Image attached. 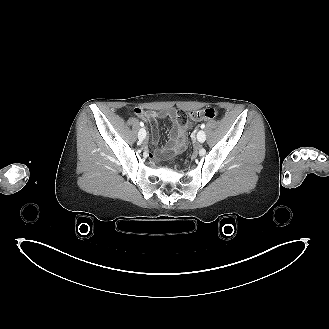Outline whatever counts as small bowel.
<instances>
[{
  "instance_id": "obj_1",
  "label": "small bowel",
  "mask_w": 329,
  "mask_h": 329,
  "mask_svg": "<svg viewBox=\"0 0 329 329\" xmlns=\"http://www.w3.org/2000/svg\"><path fill=\"white\" fill-rule=\"evenodd\" d=\"M135 114L151 125V141L157 144L159 134L154 122L159 118H167L171 121L172 127L169 132V139L166 146L157 154L162 158H170L173 154L183 151L186 147V133L191 127V123L186 121L188 113L179 109H164L161 111L144 110L140 107L135 109ZM148 156L153 158L155 155L148 151Z\"/></svg>"
}]
</instances>
